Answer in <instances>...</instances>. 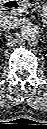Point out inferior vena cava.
I'll return each instance as SVG.
<instances>
[{
	"label": "inferior vena cava",
	"instance_id": "602c4592",
	"mask_svg": "<svg viewBox=\"0 0 47 129\" xmlns=\"http://www.w3.org/2000/svg\"><path fill=\"white\" fill-rule=\"evenodd\" d=\"M18 18L12 16L1 17L0 26L4 30L14 29L18 25Z\"/></svg>",
	"mask_w": 47,
	"mask_h": 129
}]
</instances>
